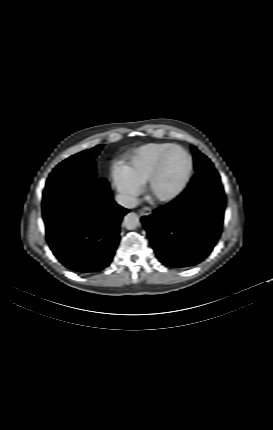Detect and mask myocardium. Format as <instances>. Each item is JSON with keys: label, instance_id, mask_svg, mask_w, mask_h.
<instances>
[{"label": "myocardium", "instance_id": "1", "mask_svg": "<svg viewBox=\"0 0 273 430\" xmlns=\"http://www.w3.org/2000/svg\"><path fill=\"white\" fill-rule=\"evenodd\" d=\"M173 150H179L184 154V156L187 159L188 166H187L186 172H185L182 180L171 192H169L167 194H159L156 191V185H157L158 179L161 175L164 162H165L167 156L169 155V153L172 152ZM192 173H193V160H192L191 155L182 146L175 145V144L171 145L170 147H168L167 149H165L162 152V154L160 155L152 173L150 174V176L147 180V191H148L150 198L153 201L158 202V203H169V202L175 200L176 198H178L180 196V194L187 187V185L191 179Z\"/></svg>", "mask_w": 273, "mask_h": 430}]
</instances>
